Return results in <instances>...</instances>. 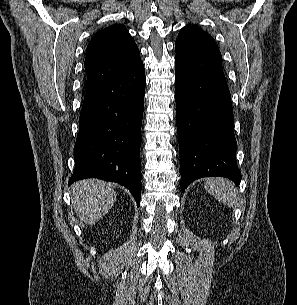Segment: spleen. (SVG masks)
Wrapping results in <instances>:
<instances>
[{"instance_id":"spleen-1","label":"spleen","mask_w":297,"mask_h":305,"mask_svg":"<svg viewBox=\"0 0 297 305\" xmlns=\"http://www.w3.org/2000/svg\"><path fill=\"white\" fill-rule=\"evenodd\" d=\"M205 189L227 206L230 207L235 204L236 192L229 180L223 178L208 179Z\"/></svg>"}]
</instances>
